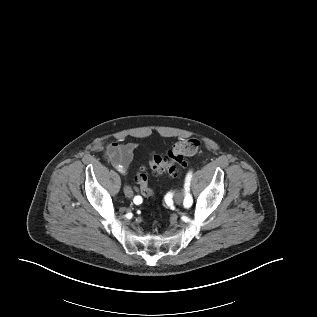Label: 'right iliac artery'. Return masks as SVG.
<instances>
[{
	"mask_svg": "<svg viewBox=\"0 0 317 317\" xmlns=\"http://www.w3.org/2000/svg\"><path fill=\"white\" fill-rule=\"evenodd\" d=\"M133 201L135 204L139 205L142 203V198L140 196H136Z\"/></svg>",
	"mask_w": 317,
	"mask_h": 317,
	"instance_id": "obj_1",
	"label": "right iliac artery"
}]
</instances>
